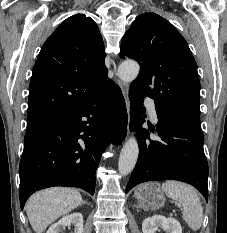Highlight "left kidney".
Here are the masks:
<instances>
[{
  "mask_svg": "<svg viewBox=\"0 0 227 233\" xmlns=\"http://www.w3.org/2000/svg\"><path fill=\"white\" fill-rule=\"evenodd\" d=\"M158 227L163 230H169L171 231L170 233H182V227L179 221L174 218L155 215L150 218H146L142 223L143 233H156Z\"/></svg>",
  "mask_w": 227,
  "mask_h": 233,
  "instance_id": "1",
  "label": "left kidney"
}]
</instances>
